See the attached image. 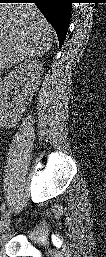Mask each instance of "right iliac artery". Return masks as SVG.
I'll use <instances>...</instances> for the list:
<instances>
[{
	"label": "right iliac artery",
	"instance_id": "1",
	"mask_svg": "<svg viewBox=\"0 0 106 257\" xmlns=\"http://www.w3.org/2000/svg\"><path fill=\"white\" fill-rule=\"evenodd\" d=\"M1 219L3 218V216H4V214H5V204H3L2 206H1Z\"/></svg>",
	"mask_w": 106,
	"mask_h": 257
}]
</instances>
